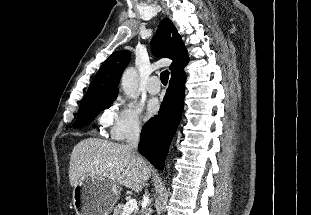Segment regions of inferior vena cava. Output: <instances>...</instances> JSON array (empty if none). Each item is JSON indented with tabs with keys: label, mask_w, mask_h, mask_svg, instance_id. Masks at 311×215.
<instances>
[{
	"label": "inferior vena cava",
	"mask_w": 311,
	"mask_h": 215,
	"mask_svg": "<svg viewBox=\"0 0 311 215\" xmlns=\"http://www.w3.org/2000/svg\"><path fill=\"white\" fill-rule=\"evenodd\" d=\"M139 139H140V127L134 126L130 129L127 137L128 147L132 149L134 152H136L138 148ZM138 161L140 162L141 160L138 158ZM141 215H150L149 209L143 208L141 210Z\"/></svg>",
	"instance_id": "602c4592"
}]
</instances>
